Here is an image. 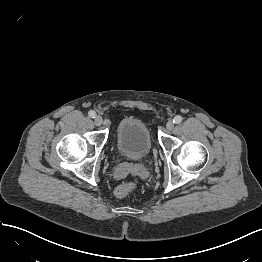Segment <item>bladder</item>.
Listing matches in <instances>:
<instances>
[{
  "mask_svg": "<svg viewBox=\"0 0 262 262\" xmlns=\"http://www.w3.org/2000/svg\"><path fill=\"white\" fill-rule=\"evenodd\" d=\"M117 144L126 159L136 160L151 151L153 140L147 125L141 119L127 117L118 125Z\"/></svg>",
  "mask_w": 262,
  "mask_h": 262,
  "instance_id": "bladder-1",
  "label": "bladder"
}]
</instances>
